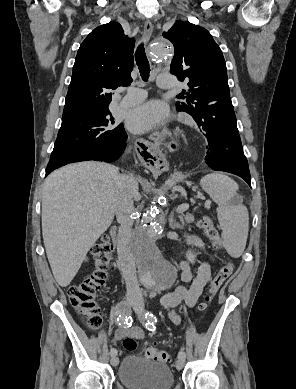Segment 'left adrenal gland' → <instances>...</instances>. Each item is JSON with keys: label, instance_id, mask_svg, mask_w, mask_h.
<instances>
[{"label": "left adrenal gland", "instance_id": "obj_1", "mask_svg": "<svg viewBox=\"0 0 296 389\" xmlns=\"http://www.w3.org/2000/svg\"><path fill=\"white\" fill-rule=\"evenodd\" d=\"M169 227L173 230L183 229V226L174 219V211L169 216Z\"/></svg>", "mask_w": 296, "mask_h": 389}]
</instances>
